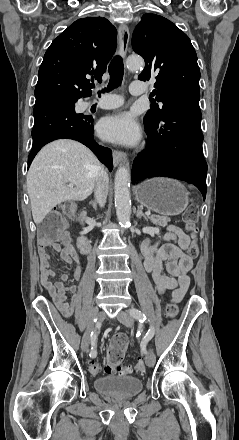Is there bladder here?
I'll return each mask as SVG.
<instances>
[{
    "instance_id": "1",
    "label": "bladder",
    "mask_w": 239,
    "mask_h": 440,
    "mask_svg": "<svg viewBox=\"0 0 239 440\" xmlns=\"http://www.w3.org/2000/svg\"><path fill=\"white\" fill-rule=\"evenodd\" d=\"M94 387L102 394L125 399L138 395L143 389V383L132 376H106L96 379Z\"/></svg>"
}]
</instances>
